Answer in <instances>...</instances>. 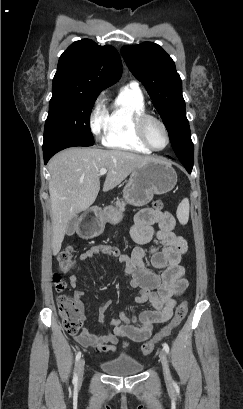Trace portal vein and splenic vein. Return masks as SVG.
Listing matches in <instances>:
<instances>
[{
    "instance_id": "1",
    "label": "portal vein and splenic vein",
    "mask_w": 243,
    "mask_h": 409,
    "mask_svg": "<svg viewBox=\"0 0 243 409\" xmlns=\"http://www.w3.org/2000/svg\"><path fill=\"white\" fill-rule=\"evenodd\" d=\"M107 173V169L106 168H102V169H100V171H99V175H104V174H106Z\"/></svg>"
}]
</instances>
